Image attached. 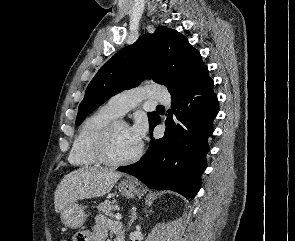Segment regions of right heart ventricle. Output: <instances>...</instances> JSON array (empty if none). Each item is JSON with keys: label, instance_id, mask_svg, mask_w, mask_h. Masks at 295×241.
I'll return each mask as SVG.
<instances>
[{"label": "right heart ventricle", "instance_id": "1", "mask_svg": "<svg viewBox=\"0 0 295 241\" xmlns=\"http://www.w3.org/2000/svg\"><path fill=\"white\" fill-rule=\"evenodd\" d=\"M118 117L103 106L87 117L74 139L69 161L77 167H93L100 164L95 152L96 144L105 128Z\"/></svg>", "mask_w": 295, "mask_h": 241}]
</instances>
